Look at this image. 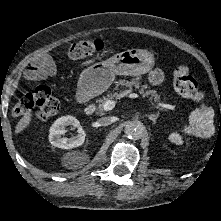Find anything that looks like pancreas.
I'll return each mask as SVG.
<instances>
[{"label":"pancreas","mask_w":221,"mask_h":221,"mask_svg":"<svg viewBox=\"0 0 221 221\" xmlns=\"http://www.w3.org/2000/svg\"><path fill=\"white\" fill-rule=\"evenodd\" d=\"M133 87L139 89V92L143 94V96H150L151 100L160 101V95L157 94L155 90H146L147 85H141L139 78H134L131 81L120 80L116 82L114 90H118L119 88H124L120 92H108L107 95L98 99V107L96 108V114L102 115L104 113L103 104L112 98H121L133 90Z\"/></svg>","instance_id":"1"}]
</instances>
